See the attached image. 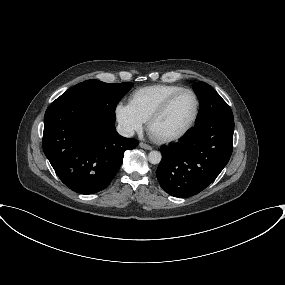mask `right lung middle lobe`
Returning a JSON list of instances; mask_svg holds the SVG:
<instances>
[{
  "label": "right lung middle lobe",
  "mask_w": 285,
  "mask_h": 285,
  "mask_svg": "<svg viewBox=\"0 0 285 285\" xmlns=\"http://www.w3.org/2000/svg\"><path fill=\"white\" fill-rule=\"evenodd\" d=\"M133 83H104L87 80L68 89L56 100L79 105L115 121V108Z\"/></svg>",
  "instance_id": "obj_1"
}]
</instances>
